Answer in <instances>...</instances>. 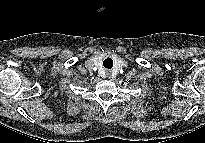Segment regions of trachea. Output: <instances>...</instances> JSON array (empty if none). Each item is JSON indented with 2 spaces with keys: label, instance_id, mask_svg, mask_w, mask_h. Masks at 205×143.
<instances>
[{
  "label": "trachea",
  "instance_id": "3493384b",
  "mask_svg": "<svg viewBox=\"0 0 205 143\" xmlns=\"http://www.w3.org/2000/svg\"><path fill=\"white\" fill-rule=\"evenodd\" d=\"M103 65L105 68H111L113 66V61L110 58L104 60Z\"/></svg>",
  "mask_w": 205,
  "mask_h": 143
}]
</instances>
